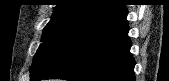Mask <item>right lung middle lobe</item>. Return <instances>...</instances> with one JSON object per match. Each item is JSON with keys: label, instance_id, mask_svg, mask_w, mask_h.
<instances>
[{"label": "right lung middle lobe", "instance_id": "right-lung-middle-lobe-1", "mask_svg": "<svg viewBox=\"0 0 169 81\" xmlns=\"http://www.w3.org/2000/svg\"><path fill=\"white\" fill-rule=\"evenodd\" d=\"M84 19L67 17L51 19L45 26L40 44L33 58L30 74L34 73L80 26Z\"/></svg>", "mask_w": 169, "mask_h": 81}]
</instances>
